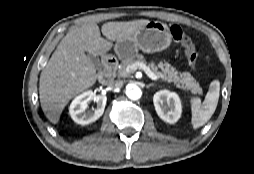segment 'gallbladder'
Wrapping results in <instances>:
<instances>
[{
    "mask_svg": "<svg viewBox=\"0 0 254 174\" xmlns=\"http://www.w3.org/2000/svg\"><path fill=\"white\" fill-rule=\"evenodd\" d=\"M87 56L91 60V62L94 64L96 69H101L102 65H101L99 59L95 55H93L91 53H87Z\"/></svg>",
    "mask_w": 254,
    "mask_h": 174,
    "instance_id": "1",
    "label": "gallbladder"
}]
</instances>
